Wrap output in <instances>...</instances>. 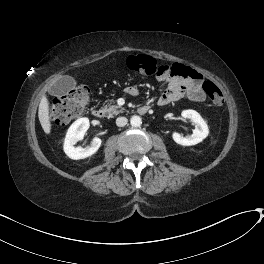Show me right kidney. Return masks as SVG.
<instances>
[{
    "instance_id": "1",
    "label": "right kidney",
    "mask_w": 264,
    "mask_h": 264,
    "mask_svg": "<svg viewBox=\"0 0 264 264\" xmlns=\"http://www.w3.org/2000/svg\"><path fill=\"white\" fill-rule=\"evenodd\" d=\"M89 125V119L84 117L76 120L68 129L64 141V152L69 158L74 160L87 158L96 153L101 146L102 140L98 137L93 138L90 146L85 148L74 146L78 141L84 138Z\"/></svg>"
}]
</instances>
